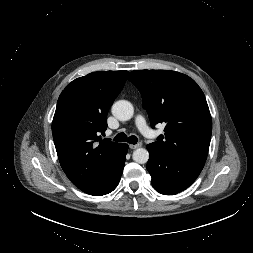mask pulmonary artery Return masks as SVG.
Listing matches in <instances>:
<instances>
[{
    "instance_id": "obj_1",
    "label": "pulmonary artery",
    "mask_w": 253,
    "mask_h": 253,
    "mask_svg": "<svg viewBox=\"0 0 253 253\" xmlns=\"http://www.w3.org/2000/svg\"><path fill=\"white\" fill-rule=\"evenodd\" d=\"M135 124L138 130L146 137H153L154 133L146 123L145 118L142 115H137L135 118Z\"/></svg>"
}]
</instances>
